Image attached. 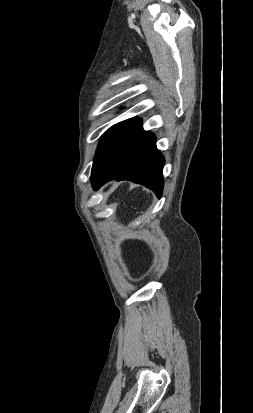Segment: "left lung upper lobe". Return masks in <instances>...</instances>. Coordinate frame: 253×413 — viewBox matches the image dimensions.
<instances>
[{
	"label": "left lung upper lobe",
	"mask_w": 253,
	"mask_h": 413,
	"mask_svg": "<svg viewBox=\"0 0 253 413\" xmlns=\"http://www.w3.org/2000/svg\"><path fill=\"white\" fill-rule=\"evenodd\" d=\"M141 124L139 118L120 122L108 129L101 137L93 162L91 176L95 175L126 138Z\"/></svg>",
	"instance_id": "obj_1"
}]
</instances>
